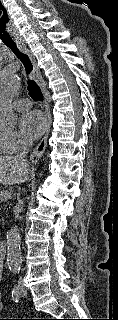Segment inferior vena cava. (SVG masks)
<instances>
[{
	"label": "inferior vena cava",
	"mask_w": 118,
	"mask_h": 320,
	"mask_svg": "<svg viewBox=\"0 0 118 320\" xmlns=\"http://www.w3.org/2000/svg\"><path fill=\"white\" fill-rule=\"evenodd\" d=\"M30 148H29V144L26 142H23L20 153L16 156L17 159L23 163H26V156L29 153ZM23 207V200H19L18 204H17V211H21Z\"/></svg>",
	"instance_id": "1"
}]
</instances>
